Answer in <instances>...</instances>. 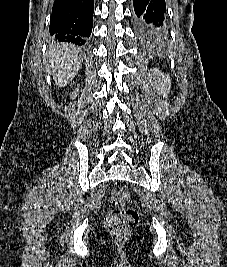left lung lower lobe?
<instances>
[{
    "instance_id": "left-lung-lower-lobe-1",
    "label": "left lung lower lobe",
    "mask_w": 227,
    "mask_h": 267,
    "mask_svg": "<svg viewBox=\"0 0 227 267\" xmlns=\"http://www.w3.org/2000/svg\"><path fill=\"white\" fill-rule=\"evenodd\" d=\"M133 4L138 18L137 25L143 34L158 36L166 33L165 0H133Z\"/></svg>"
}]
</instances>
